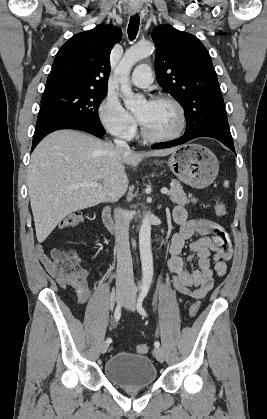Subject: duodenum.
Here are the masks:
<instances>
[{
    "label": "duodenum",
    "instance_id": "obj_1",
    "mask_svg": "<svg viewBox=\"0 0 267 419\" xmlns=\"http://www.w3.org/2000/svg\"><path fill=\"white\" fill-rule=\"evenodd\" d=\"M102 221L105 225V227L109 230V231H113L114 230V220H113V215H112V210L110 207H105L102 211Z\"/></svg>",
    "mask_w": 267,
    "mask_h": 419
}]
</instances>
